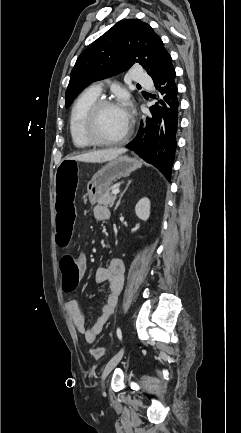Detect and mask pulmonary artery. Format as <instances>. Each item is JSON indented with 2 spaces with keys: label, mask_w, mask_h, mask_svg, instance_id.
I'll return each instance as SVG.
<instances>
[{
  "label": "pulmonary artery",
  "mask_w": 241,
  "mask_h": 433,
  "mask_svg": "<svg viewBox=\"0 0 241 433\" xmlns=\"http://www.w3.org/2000/svg\"><path fill=\"white\" fill-rule=\"evenodd\" d=\"M132 79L134 82L142 85L150 83L149 76L144 73L141 69H134L132 72ZM89 90L96 95L102 92V84L100 82L94 83L89 87Z\"/></svg>",
  "instance_id": "e3ab8cb5"
}]
</instances>
